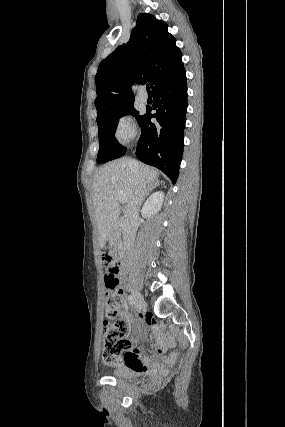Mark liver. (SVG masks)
<instances>
[{"label":"liver","instance_id":"liver-1","mask_svg":"<svg viewBox=\"0 0 285 427\" xmlns=\"http://www.w3.org/2000/svg\"><path fill=\"white\" fill-rule=\"evenodd\" d=\"M136 169L147 189L155 183L159 184L158 170L129 158H121L101 167L94 177L92 201L100 248L105 246L120 216L117 194L122 193L127 204L134 192Z\"/></svg>","mask_w":285,"mask_h":427}]
</instances>
